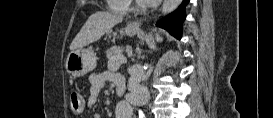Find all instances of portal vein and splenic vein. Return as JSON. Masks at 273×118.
<instances>
[{
  "label": "portal vein and splenic vein",
  "mask_w": 273,
  "mask_h": 118,
  "mask_svg": "<svg viewBox=\"0 0 273 118\" xmlns=\"http://www.w3.org/2000/svg\"><path fill=\"white\" fill-rule=\"evenodd\" d=\"M112 59H117L120 61V63H126L127 62V59L124 57V56H119V57H114Z\"/></svg>",
  "instance_id": "1"
}]
</instances>
